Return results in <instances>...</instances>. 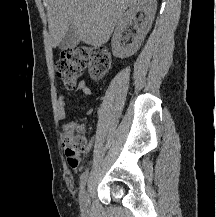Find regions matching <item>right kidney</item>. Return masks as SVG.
<instances>
[{
    "label": "right kidney",
    "instance_id": "ca27d5eb",
    "mask_svg": "<svg viewBox=\"0 0 216 217\" xmlns=\"http://www.w3.org/2000/svg\"><path fill=\"white\" fill-rule=\"evenodd\" d=\"M156 0H137L130 9H128L117 23V27L112 37V53L115 57L121 59L127 58L137 52L145 36L151 28L156 13ZM138 12H143L145 18L140 25H136L137 34L133 37L132 43L128 45L121 44L123 33L127 30L132 20L136 19Z\"/></svg>",
    "mask_w": 216,
    "mask_h": 217
}]
</instances>
